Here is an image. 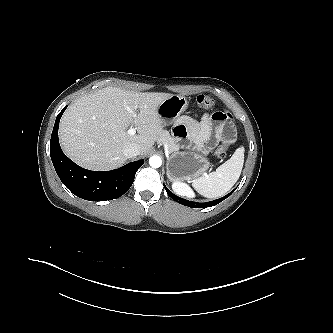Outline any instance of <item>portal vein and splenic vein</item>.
I'll use <instances>...</instances> for the list:
<instances>
[{
  "mask_svg": "<svg viewBox=\"0 0 333 333\" xmlns=\"http://www.w3.org/2000/svg\"><path fill=\"white\" fill-rule=\"evenodd\" d=\"M128 134L130 135H135L136 134V129L134 127H131L128 131H127Z\"/></svg>",
  "mask_w": 333,
  "mask_h": 333,
  "instance_id": "18ae733b",
  "label": "portal vein and splenic vein"
}]
</instances>
